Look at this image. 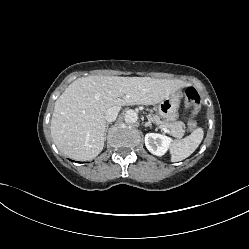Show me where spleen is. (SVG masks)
<instances>
[{
  "instance_id": "spleen-1",
  "label": "spleen",
  "mask_w": 249,
  "mask_h": 249,
  "mask_svg": "<svg viewBox=\"0 0 249 249\" xmlns=\"http://www.w3.org/2000/svg\"><path fill=\"white\" fill-rule=\"evenodd\" d=\"M203 136V129L197 128L186 138L175 141L171 147V161L178 162L189 157L198 148Z\"/></svg>"
}]
</instances>
